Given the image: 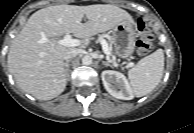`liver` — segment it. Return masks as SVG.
I'll return each instance as SVG.
<instances>
[{"mask_svg":"<svg viewBox=\"0 0 194 133\" xmlns=\"http://www.w3.org/2000/svg\"><path fill=\"white\" fill-rule=\"evenodd\" d=\"M86 16L87 22H82ZM124 20L133 21L125 10L110 4L56 5L33 13L13 39L7 63L18 86L39 100H50L66 87L64 53L60 37L72 33L89 38L106 32ZM45 38V41L42 39Z\"/></svg>","mask_w":194,"mask_h":133,"instance_id":"1","label":"liver"}]
</instances>
